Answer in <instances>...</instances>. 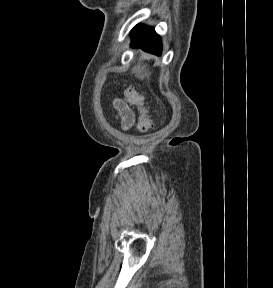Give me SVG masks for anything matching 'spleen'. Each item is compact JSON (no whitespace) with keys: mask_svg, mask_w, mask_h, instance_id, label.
I'll list each match as a JSON object with an SVG mask.
<instances>
[{"mask_svg":"<svg viewBox=\"0 0 273 288\" xmlns=\"http://www.w3.org/2000/svg\"><path fill=\"white\" fill-rule=\"evenodd\" d=\"M142 69H143V68L140 69V67H138V68H134L133 70H134V72H136V73L139 74V73L142 71ZM140 77L143 78L144 76L142 75V76H140Z\"/></svg>","mask_w":273,"mask_h":288,"instance_id":"spleen-1","label":"spleen"}]
</instances>
